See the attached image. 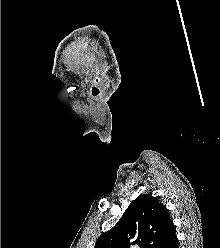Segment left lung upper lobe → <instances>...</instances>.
<instances>
[{
    "label": "left lung upper lobe",
    "mask_w": 220,
    "mask_h": 248,
    "mask_svg": "<svg viewBox=\"0 0 220 248\" xmlns=\"http://www.w3.org/2000/svg\"><path fill=\"white\" fill-rule=\"evenodd\" d=\"M174 224L168 209L150 194L139 195L94 248H160Z\"/></svg>",
    "instance_id": "5c2ea615"
}]
</instances>
